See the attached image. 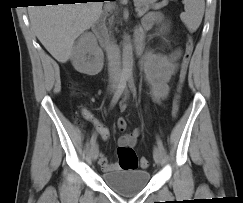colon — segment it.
I'll return each instance as SVG.
<instances>
[{
    "mask_svg": "<svg viewBox=\"0 0 243 203\" xmlns=\"http://www.w3.org/2000/svg\"><path fill=\"white\" fill-rule=\"evenodd\" d=\"M194 50V41L192 37H188L186 41L185 53L182 58V63L178 75V86H177V95L175 97L173 103V110L172 114L174 117L178 115L179 112V99H180V92L183 88L185 83L187 74H188V67L189 63L193 54ZM82 123V120H79V124ZM119 166L123 170H135L138 165L142 168L148 167V160L146 158H142L140 162L136 156L134 149L131 146H119L117 150Z\"/></svg>",
    "mask_w": 243,
    "mask_h": 203,
    "instance_id": "colon-1",
    "label": "colon"
}]
</instances>
